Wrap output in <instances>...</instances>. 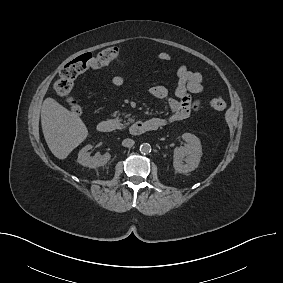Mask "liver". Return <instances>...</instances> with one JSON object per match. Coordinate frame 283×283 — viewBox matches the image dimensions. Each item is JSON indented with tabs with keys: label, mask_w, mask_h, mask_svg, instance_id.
Returning <instances> with one entry per match:
<instances>
[{
	"label": "liver",
	"mask_w": 283,
	"mask_h": 283,
	"mask_svg": "<svg viewBox=\"0 0 283 283\" xmlns=\"http://www.w3.org/2000/svg\"><path fill=\"white\" fill-rule=\"evenodd\" d=\"M41 125L50 151L61 160L67 158L88 136L81 118L50 97L42 105Z\"/></svg>",
	"instance_id": "obj_1"
}]
</instances>
